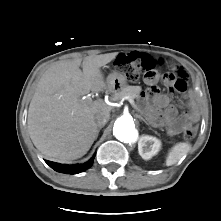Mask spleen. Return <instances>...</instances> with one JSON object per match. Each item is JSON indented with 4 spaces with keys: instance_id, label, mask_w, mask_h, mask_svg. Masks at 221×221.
<instances>
[{
    "instance_id": "1",
    "label": "spleen",
    "mask_w": 221,
    "mask_h": 221,
    "mask_svg": "<svg viewBox=\"0 0 221 221\" xmlns=\"http://www.w3.org/2000/svg\"><path fill=\"white\" fill-rule=\"evenodd\" d=\"M191 149V144L187 142L176 143L168 152L165 160L166 166L176 164L183 156H185Z\"/></svg>"
}]
</instances>
